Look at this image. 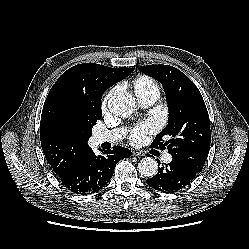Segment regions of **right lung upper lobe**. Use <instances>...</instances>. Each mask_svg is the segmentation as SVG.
<instances>
[{
    "instance_id": "right-lung-upper-lobe-1",
    "label": "right lung upper lobe",
    "mask_w": 249,
    "mask_h": 249,
    "mask_svg": "<svg viewBox=\"0 0 249 249\" xmlns=\"http://www.w3.org/2000/svg\"><path fill=\"white\" fill-rule=\"evenodd\" d=\"M133 71V68H110L95 63H83L68 69L55 82L43 106L40 139L43 153L59 177L85 154L89 146L81 149L75 137L58 128V122L49 114L53 94L58 89L65 88L80 97L92 99L102 96L109 87L122 80L123 75H129Z\"/></svg>"
}]
</instances>
